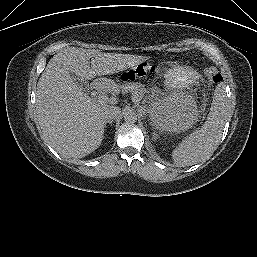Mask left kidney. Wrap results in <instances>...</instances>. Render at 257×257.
<instances>
[{"mask_svg": "<svg viewBox=\"0 0 257 257\" xmlns=\"http://www.w3.org/2000/svg\"><path fill=\"white\" fill-rule=\"evenodd\" d=\"M153 126L169 132H181L192 127L198 120V112L191 96L174 93L153 102L149 109Z\"/></svg>", "mask_w": 257, "mask_h": 257, "instance_id": "left-kidney-1", "label": "left kidney"}]
</instances>
